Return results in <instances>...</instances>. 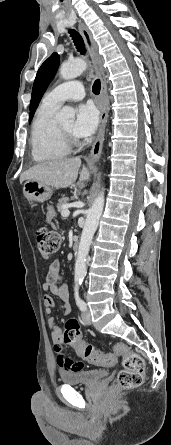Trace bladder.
<instances>
[{"label": "bladder", "instance_id": "31cf9c89", "mask_svg": "<svg viewBox=\"0 0 171 445\" xmlns=\"http://www.w3.org/2000/svg\"><path fill=\"white\" fill-rule=\"evenodd\" d=\"M61 380L67 385H92L108 376L107 369L62 371Z\"/></svg>", "mask_w": 171, "mask_h": 445}]
</instances>
